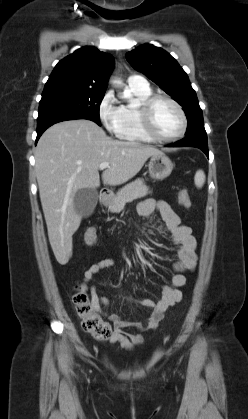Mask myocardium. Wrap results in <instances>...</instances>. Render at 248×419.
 I'll return each mask as SVG.
<instances>
[{
    "mask_svg": "<svg viewBox=\"0 0 248 419\" xmlns=\"http://www.w3.org/2000/svg\"><path fill=\"white\" fill-rule=\"evenodd\" d=\"M160 100H165L169 102L170 104H172L178 111L181 118V128L179 132L170 137H163V136L158 135L153 128V124L151 120V110L154 104ZM137 113H138V118H139L140 126L143 133L147 137H149L152 141L163 142V143L174 142L182 138L187 131L188 121H187V116L185 114L184 109L175 99H173L172 97L168 95L154 94V95L149 96L147 99L140 102Z\"/></svg>",
    "mask_w": 248,
    "mask_h": 419,
    "instance_id": "1",
    "label": "myocardium"
}]
</instances>
